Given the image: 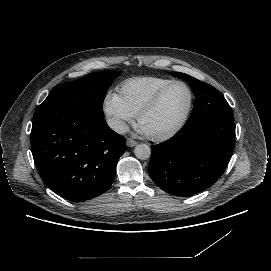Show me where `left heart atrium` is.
<instances>
[{
  "label": "left heart atrium",
  "instance_id": "obj_1",
  "mask_svg": "<svg viewBox=\"0 0 271 271\" xmlns=\"http://www.w3.org/2000/svg\"><path fill=\"white\" fill-rule=\"evenodd\" d=\"M136 131L139 134L148 135L147 132L145 131V129L141 126V124L137 126Z\"/></svg>",
  "mask_w": 271,
  "mask_h": 271
}]
</instances>
